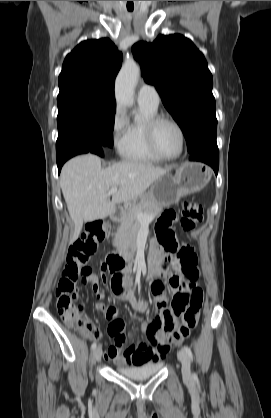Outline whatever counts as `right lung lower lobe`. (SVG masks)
I'll use <instances>...</instances> for the list:
<instances>
[{"mask_svg": "<svg viewBox=\"0 0 271 418\" xmlns=\"http://www.w3.org/2000/svg\"><path fill=\"white\" fill-rule=\"evenodd\" d=\"M103 148L102 146H87V147H81L75 150H66V151H62L60 153L56 154V160H57V166H58V171L60 172L63 164L70 159L71 157L78 155V154H82V153H94L97 154L99 156H103Z\"/></svg>", "mask_w": 271, "mask_h": 418, "instance_id": "1", "label": "right lung lower lobe"}]
</instances>
